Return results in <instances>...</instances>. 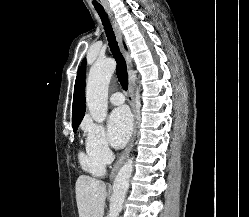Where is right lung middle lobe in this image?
<instances>
[{"label":"right lung middle lobe","instance_id":"dd1d6c3e","mask_svg":"<svg viewBox=\"0 0 249 217\" xmlns=\"http://www.w3.org/2000/svg\"><path fill=\"white\" fill-rule=\"evenodd\" d=\"M77 128H78V126L73 127L74 132H76Z\"/></svg>","mask_w":249,"mask_h":217}]
</instances>
